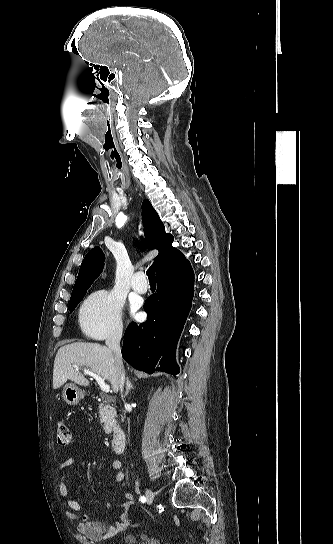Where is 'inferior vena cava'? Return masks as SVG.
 I'll use <instances>...</instances> for the list:
<instances>
[{
	"label": "inferior vena cava",
	"mask_w": 333,
	"mask_h": 544,
	"mask_svg": "<svg viewBox=\"0 0 333 544\" xmlns=\"http://www.w3.org/2000/svg\"><path fill=\"white\" fill-rule=\"evenodd\" d=\"M121 338H122V328H117L109 333L106 339V345L111 349V351L114 354L115 364L117 368L119 389L122 393L124 382H125V371L123 367L121 348H120Z\"/></svg>",
	"instance_id": "602c4592"
}]
</instances>
